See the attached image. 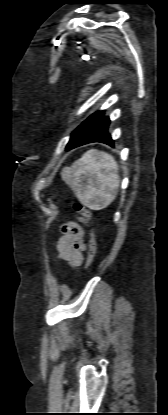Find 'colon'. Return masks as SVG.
Masks as SVG:
<instances>
[{"label": "colon", "mask_w": 168, "mask_h": 415, "mask_svg": "<svg viewBox=\"0 0 168 415\" xmlns=\"http://www.w3.org/2000/svg\"><path fill=\"white\" fill-rule=\"evenodd\" d=\"M73 207H74V210L78 213H81L87 221L91 220V212L85 206H83L80 203H75ZM95 256H96L95 240H94L93 232L90 231L89 240H88V250H87V266L92 265V263L95 260Z\"/></svg>", "instance_id": "5ec220e1"}]
</instances>
